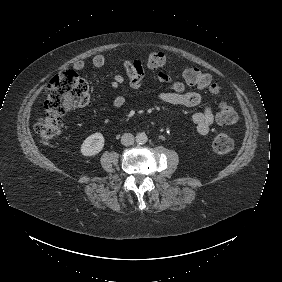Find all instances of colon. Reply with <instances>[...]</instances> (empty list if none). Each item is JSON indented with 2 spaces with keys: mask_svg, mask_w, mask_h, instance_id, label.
Listing matches in <instances>:
<instances>
[{
  "mask_svg": "<svg viewBox=\"0 0 282 282\" xmlns=\"http://www.w3.org/2000/svg\"><path fill=\"white\" fill-rule=\"evenodd\" d=\"M147 62L152 68H162L166 65V57L162 52L153 51L148 55ZM184 77L190 85L209 89L214 93L218 91L219 86L212 77L195 68H186ZM46 94V116L36 124L35 130L42 143L51 144L60 134L64 112L69 108L86 106L90 95L87 82L74 71H65L56 75L49 82ZM217 118L222 124H234L238 120V114L230 104L222 102L219 105ZM233 144L231 136L224 132L218 133L213 139V149L220 155L229 153Z\"/></svg>",
  "mask_w": 282,
  "mask_h": 282,
  "instance_id": "colon-1",
  "label": "colon"
}]
</instances>
